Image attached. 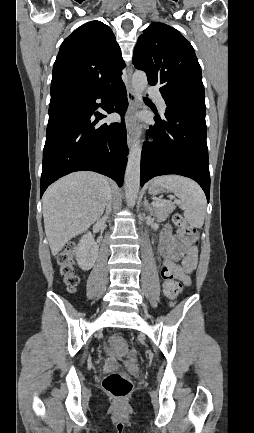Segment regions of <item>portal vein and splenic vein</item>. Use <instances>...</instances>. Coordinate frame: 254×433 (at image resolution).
Instances as JSON below:
<instances>
[{"label":"portal vein and splenic vein","mask_w":254,"mask_h":433,"mask_svg":"<svg viewBox=\"0 0 254 433\" xmlns=\"http://www.w3.org/2000/svg\"><path fill=\"white\" fill-rule=\"evenodd\" d=\"M176 203H179V201H175ZM152 205L153 206H162V205H164V202H161V201H156V202H152Z\"/></svg>","instance_id":"18ae733b"}]
</instances>
